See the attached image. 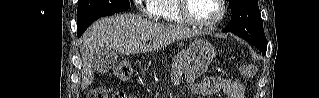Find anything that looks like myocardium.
Returning <instances> with one entry per match:
<instances>
[{
    "mask_svg": "<svg viewBox=\"0 0 319 98\" xmlns=\"http://www.w3.org/2000/svg\"><path fill=\"white\" fill-rule=\"evenodd\" d=\"M189 1V0H188ZM188 1L186 0H178L177 1V7L180 16L184 20L185 23L198 27V28H214L216 27L219 23H221L226 15V3L224 0H217L219 6H220V13L219 15L212 21H200L198 19H195L193 16L190 15L188 12V7L187 3Z\"/></svg>",
    "mask_w": 319,
    "mask_h": 98,
    "instance_id": "myocardium-1",
    "label": "myocardium"
}]
</instances>
